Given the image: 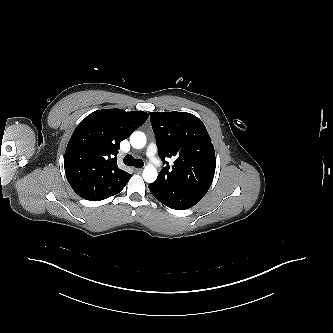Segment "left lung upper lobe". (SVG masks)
Instances as JSON below:
<instances>
[{"instance_id":"left-lung-upper-lobe-1","label":"left lung upper lobe","mask_w":333,"mask_h":333,"mask_svg":"<svg viewBox=\"0 0 333 333\" xmlns=\"http://www.w3.org/2000/svg\"><path fill=\"white\" fill-rule=\"evenodd\" d=\"M158 155L164 167L158 179L176 187L206 193L213 181L216 158L214 146L203 122L186 112H151ZM166 158H174L170 169Z\"/></svg>"}]
</instances>
